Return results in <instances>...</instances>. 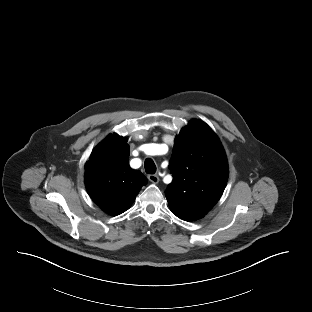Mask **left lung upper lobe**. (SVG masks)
Returning a JSON list of instances; mask_svg holds the SVG:
<instances>
[{"label": "left lung upper lobe", "mask_w": 312, "mask_h": 312, "mask_svg": "<svg viewBox=\"0 0 312 312\" xmlns=\"http://www.w3.org/2000/svg\"><path fill=\"white\" fill-rule=\"evenodd\" d=\"M165 194L180 219L203 217L219 200L228 179L225 151L217 135L201 120H192L175 138Z\"/></svg>", "instance_id": "left-lung-upper-lobe-1"}]
</instances>
